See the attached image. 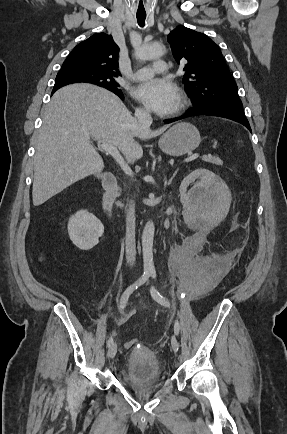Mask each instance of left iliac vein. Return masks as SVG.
Instances as JSON below:
<instances>
[{"label":"left iliac vein","instance_id":"4c4485c4","mask_svg":"<svg viewBox=\"0 0 287 434\" xmlns=\"http://www.w3.org/2000/svg\"><path fill=\"white\" fill-rule=\"evenodd\" d=\"M171 347H172L174 352H176L179 348V342H178L176 336L171 337Z\"/></svg>","mask_w":287,"mask_h":434}]
</instances>
